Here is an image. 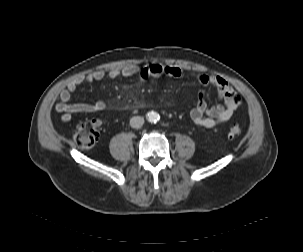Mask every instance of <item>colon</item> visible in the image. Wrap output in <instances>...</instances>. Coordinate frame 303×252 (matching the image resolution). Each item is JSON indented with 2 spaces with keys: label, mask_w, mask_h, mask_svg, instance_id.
<instances>
[{
  "label": "colon",
  "mask_w": 303,
  "mask_h": 252,
  "mask_svg": "<svg viewBox=\"0 0 303 252\" xmlns=\"http://www.w3.org/2000/svg\"><path fill=\"white\" fill-rule=\"evenodd\" d=\"M242 133L241 127L233 125L228 130V136L230 138L238 137ZM99 138V132L96 122H84L77 126L74 133V139L76 143L82 148L93 147Z\"/></svg>",
  "instance_id": "colon-1"
}]
</instances>
